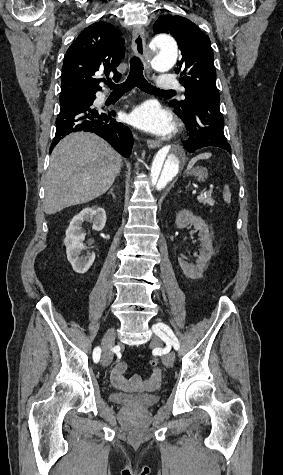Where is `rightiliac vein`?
Masks as SVG:
<instances>
[{"label": "right iliac vein", "mask_w": 283, "mask_h": 475, "mask_svg": "<svg viewBox=\"0 0 283 475\" xmlns=\"http://www.w3.org/2000/svg\"><path fill=\"white\" fill-rule=\"evenodd\" d=\"M114 340H115V330L114 328H110L106 331L104 338L102 340L103 351H102L101 360H102V365L104 367L109 366L110 363L112 362L113 355L111 352V347L114 343Z\"/></svg>", "instance_id": "1"}]
</instances>
